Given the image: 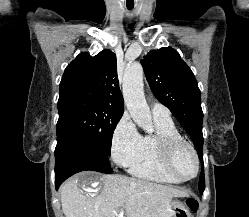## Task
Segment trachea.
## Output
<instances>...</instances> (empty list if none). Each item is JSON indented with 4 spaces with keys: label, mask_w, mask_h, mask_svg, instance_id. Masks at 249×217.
<instances>
[{
    "label": "trachea",
    "mask_w": 249,
    "mask_h": 217,
    "mask_svg": "<svg viewBox=\"0 0 249 217\" xmlns=\"http://www.w3.org/2000/svg\"><path fill=\"white\" fill-rule=\"evenodd\" d=\"M127 8H128L129 10H132V9H133V6H127Z\"/></svg>",
    "instance_id": "trachea-1"
}]
</instances>
